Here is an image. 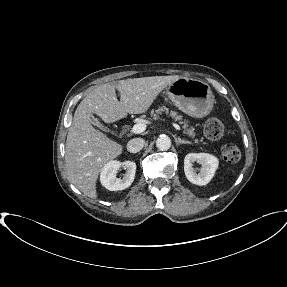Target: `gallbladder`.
<instances>
[{
    "mask_svg": "<svg viewBox=\"0 0 287 287\" xmlns=\"http://www.w3.org/2000/svg\"><path fill=\"white\" fill-rule=\"evenodd\" d=\"M89 121L91 124L95 125L96 127L105 130V128L102 126V124L91 114L88 115Z\"/></svg>",
    "mask_w": 287,
    "mask_h": 287,
    "instance_id": "bac80fb5",
    "label": "gallbladder"
}]
</instances>
